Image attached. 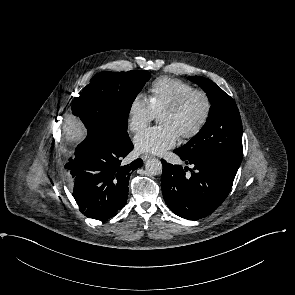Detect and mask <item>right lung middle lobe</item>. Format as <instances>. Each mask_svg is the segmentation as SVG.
Listing matches in <instances>:
<instances>
[{
    "instance_id": "obj_1",
    "label": "right lung middle lobe",
    "mask_w": 295,
    "mask_h": 295,
    "mask_svg": "<svg viewBox=\"0 0 295 295\" xmlns=\"http://www.w3.org/2000/svg\"><path fill=\"white\" fill-rule=\"evenodd\" d=\"M149 78V72L138 70L97 73L74 98L71 111L87 131H98L117 142L126 141L132 103Z\"/></svg>"
}]
</instances>
